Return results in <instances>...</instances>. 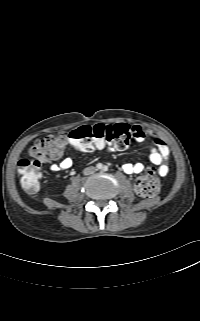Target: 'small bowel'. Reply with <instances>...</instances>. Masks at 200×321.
<instances>
[{
  "instance_id": "c3829d8e",
  "label": "small bowel",
  "mask_w": 200,
  "mask_h": 321,
  "mask_svg": "<svg viewBox=\"0 0 200 321\" xmlns=\"http://www.w3.org/2000/svg\"><path fill=\"white\" fill-rule=\"evenodd\" d=\"M117 125L128 126L126 124H117ZM128 127L132 132V137L137 142H143L145 140L152 141L154 147L150 152L149 159L152 164L157 166V172L160 176L167 175L169 171V167L167 165V159L170 151L165 141L160 136L153 133L151 130L144 128L142 126L134 125V126H128ZM108 145L111 148H115L112 144H108ZM62 154H63V150L57 156L53 157L51 160L60 159ZM71 166H72V160L70 158H63L60 160L59 163L51 164L50 170L52 172L65 171L71 168ZM122 169L126 174H139L144 171L145 166L141 162L125 163L122 166Z\"/></svg>"
}]
</instances>
